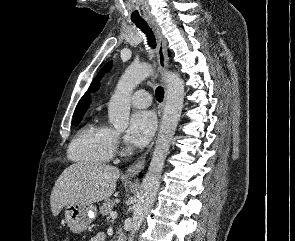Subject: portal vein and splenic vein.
<instances>
[{"mask_svg":"<svg viewBox=\"0 0 295 241\" xmlns=\"http://www.w3.org/2000/svg\"><path fill=\"white\" fill-rule=\"evenodd\" d=\"M110 217L111 218H116L117 217V213L116 212H111L110 213Z\"/></svg>","mask_w":295,"mask_h":241,"instance_id":"18ae733b","label":"portal vein and splenic vein"}]
</instances>
